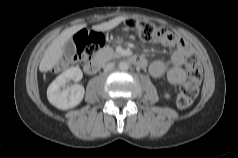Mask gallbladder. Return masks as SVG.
Returning a JSON list of instances; mask_svg holds the SVG:
<instances>
[{"label":"gallbladder","mask_w":238,"mask_h":158,"mask_svg":"<svg viewBox=\"0 0 238 158\" xmlns=\"http://www.w3.org/2000/svg\"><path fill=\"white\" fill-rule=\"evenodd\" d=\"M64 54L67 60H71L75 54L76 46L73 40H69L63 47Z\"/></svg>","instance_id":"1"}]
</instances>
